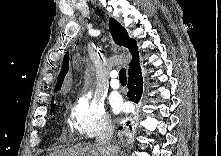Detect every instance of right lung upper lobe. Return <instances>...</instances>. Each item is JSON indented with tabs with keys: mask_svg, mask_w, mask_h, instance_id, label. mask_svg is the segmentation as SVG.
Returning <instances> with one entry per match:
<instances>
[{
	"mask_svg": "<svg viewBox=\"0 0 221 156\" xmlns=\"http://www.w3.org/2000/svg\"><path fill=\"white\" fill-rule=\"evenodd\" d=\"M109 29L114 39V42L118 45H122L128 48L132 54V61L129 64L128 71L134 67L139 66L140 65L139 52H138L136 41L134 39H130L125 28L113 18H110L109 20ZM68 70H69L68 53H66L61 72L57 77V85L55 88L56 90L61 88L62 82ZM53 100L54 99H52V104H53Z\"/></svg>",
	"mask_w": 221,
	"mask_h": 156,
	"instance_id": "right-lung-upper-lobe-1",
	"label": "right lung upper lobe"
}]
</instances>
